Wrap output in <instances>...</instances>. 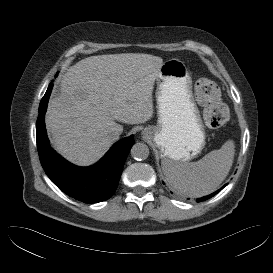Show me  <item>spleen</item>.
Listing matches in <instances>:
<instances>
[{
    "label": "spleen",
    "mask_w": 273,
    "mask_h": 273,
    "mask_svg": "<svg viewBox=\"0 0 273 273\" xmlns=\"http://www.w3.org/2000/svg\"><path fill=\"white\" fill-rule=\"evenodd\" d=\"M235 154L233 140L226 141L196 162L162 161V169L169 185L178 193L201 197L215 191L228 175Z\"/></svg>",
    "instance_id": "obj_1"
}]
</instances>
